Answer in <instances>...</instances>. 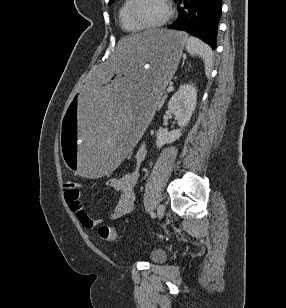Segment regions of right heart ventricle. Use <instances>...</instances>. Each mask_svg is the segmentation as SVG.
Segmentation results:
<instances>
[{"label":"right heart ventricle","mask_w":286,"mask_h":308,"mask_svg":"<svg viewBox=\"0 0 286 308\" xmlns=\"http://www.w3.org/2000/svg\"><path fill=\"white\" fill-rule=\"evenodd\" d=\"M131 0H123L118 11L119 25L121 29L127 33H138L142 29L136 26L129 18V7Z\"/></svg>","instance_id":"right-heart-ventricle-1"}]
</instances>
